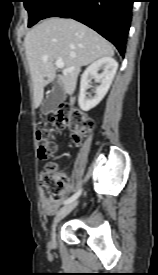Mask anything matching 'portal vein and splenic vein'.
<instances>
[{"label":"portal vein and splenic vein","instance_id":"obj_1","mask_svg":"<svg viewBox=\"0 0 158 275\" xmlns=\"http://www.w3.org/2000/svg\"><path fill=\"white\" fill-rule=\"evenodd\" d=\"M55 66L59 69H63L64 72H71L73 68H64V63L62 60H56Z\"/></svg>","mask_w":158,"mask_h":275}]
</instances>
